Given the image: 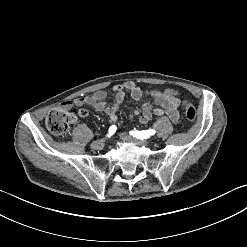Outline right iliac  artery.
<instances>
[{
	"label": "right iliac artery",
	"mask_w": 247,
	"mask_h": 247,
	"mask_svg": "<svg viewBox=\"0 0 247 247\" xmlns=\"http://www.w3.org/2000/svg\"><path fill=\"white\" fill-rule=\"evenodd\" d=\"M117 130V127L115 125H112L110 128H109V133L107 134L108 137H111V135H113Z\"/></svg>",
	"instance_id": "82829eb1"
}]
</instances>
